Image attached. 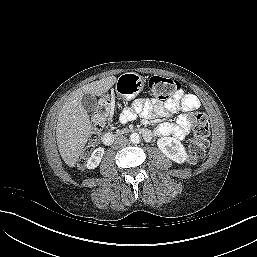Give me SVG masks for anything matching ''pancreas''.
<instances>
[{
  "label": "pancreas",
  "instance_id": "1",
  "mask_svg": "<svg viewBox=\"0 0 257 257\" xmlns=\"http://www.w3.org/2000/svg\"><path fill=\"white\" fill-rule=\"evenodd\" d=\"M129 131L130 130L128 128H124V129H121V130H117V134H124V133H127Z\"/></svg>",
  "mask_w": 257,
  "mask_h": 257
}]
</instances>
